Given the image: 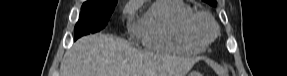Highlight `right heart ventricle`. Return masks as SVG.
Returning a JSON list of instances; mask_svg holds the SVG:
<instances>
[{"label": "right heart ventricle", "instance_id": "right-heart-ventricle-1", "mask_svg": "<svg viewBox=\"0 0 287 76\" xmlns=\"http://www.w3.org/2000/svg\"><path fill=\"white\" fill-rule=\"evenodd\" d=\"M194 10L182 0H161L153 4L137 26L135 35L152 50L197 54L206 45L195 40L189 32V20Z\"/></svg>", "mask_w": 287, "mask_h": 76}]
</instances>
